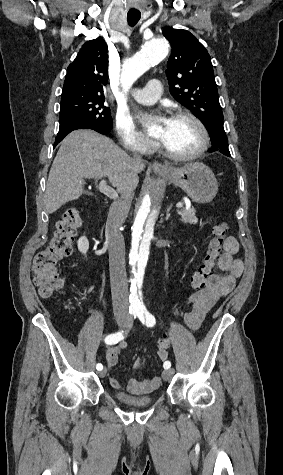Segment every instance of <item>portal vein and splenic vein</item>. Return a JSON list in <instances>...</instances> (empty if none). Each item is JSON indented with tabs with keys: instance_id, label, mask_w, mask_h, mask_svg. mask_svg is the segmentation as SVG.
<instances>
[{
	"instance_id": "portal-vein-and-splenic-vein-1",
	"label": "portal vein and splenic vein",
	"mask_w": 283,
	"mask_h": 475,
	"mask_svg": "<svg viewBox=\"0 0 283 475\" xmlns=\"http://www.w3.org/2000/svg\"><path fill=\"white\" fill-rule=\"evenodd\" d=\"M99 190L100 192H102V194H105V196H108V198H118V194L117 192H115V190H113V188H110V186H107L106 182H104V180H102V182H100L99 184ZM186 206H189L188 202H185ZM176 208H183V202H178V204H176Z\"/></svg>"
}]
</instances>
